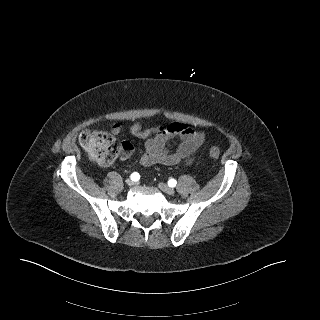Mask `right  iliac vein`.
Instances as JSON below:
<instances>
[{"mask_svg":"<svg viewBox=\"0 0 320 320\" xmlns=\"http://www.w3.org/2000/svg\"><path fill=\"white\" fill-rule=\"evenodd\" d=\"M126 184L129 185V186H133L135 184V182L131 179H127L126 180Z\"/></svg>","mask_w":320,"mask_h":320,"instance_id":"right-iliac-vein-1","label":"right iliac vein"}]
</instances>
